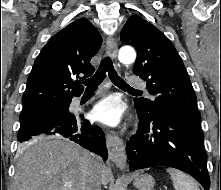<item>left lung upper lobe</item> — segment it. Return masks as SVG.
I'll use <instances>...</instances> for the list:
<instances>
[{
	"instance_id": "5c2ea615",
	"label": "left lung upper lobe",
	"mask_w": 221,
	"mask_h": 190,
	"mask_svg": "<svg viewBox=\"0 0 221 190\" xmlns=\"http://www.w3.org/2000/svg\"><path fill=\"white\" fill-rule=\"evenodd\" d=\"M120 40L136 48L133 73L146 80L153 100L134 99L135 106L148 115H172L201 127V114L181 57L167 37L148 21L131 16Z\"/></svg>"
}]
</instances>
